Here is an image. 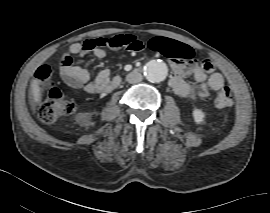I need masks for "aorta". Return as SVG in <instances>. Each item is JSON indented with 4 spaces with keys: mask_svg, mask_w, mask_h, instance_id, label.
Segmentation results:
<instances>
[{
    "mask_svg": "<svg viewBox=\"0 0 270 213\" xmlns=\"http://www.w3.org/2000/svg\"><path fill=\"white\" fill-rule=\"evenodd\" d=\"M145 77L152 83H159L167 76V67L161 61H151L146 64L144 69Z\"/></svg>",
    "mask_w": 270,
    "mask_h": 213,
    "instance_id": "1",
    "label": "aorta"
}]
</instances>
